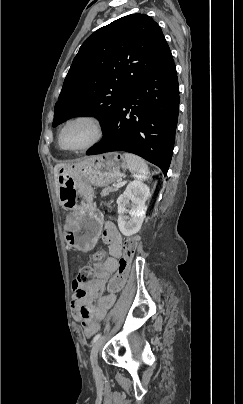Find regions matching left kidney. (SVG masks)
<instances>
[{
  "instance_id": "1",
  "label": "left kidney",
  "mask_w": 243,
  "mask_h": 404,
  "mask_svg": "<svg viewBox=\"0 0 243 404\" xmlns=\"http://www.w3.org/2000/svg\"><path fill=\"white\" fill-rule=\"evenodd\" d=\"M150 196L148 186L139 180L130 182L125 192L119 196L117 200L118 228L123 236H133L139 232L147 210L145 202ZM125 214H129V216H125Z\"/></svg>"
}]
</instances>
